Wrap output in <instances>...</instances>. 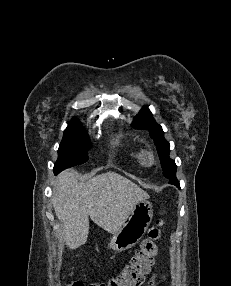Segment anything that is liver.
Here are the masks:
<instances>
[{"label":"liver","instance_id":"obj_1","mask_svg":"<svg viewBox=\"0 0 231 286\" xmlns=\"http://www.w3.org/2000/svg\"><path fill=\"white\" fill-rule=\"evenodd\" d=\"M149 198L138 185L115 172L97 175L79 182L75 173L63 171L53 188V207L63 226L69 249L86 243L89 217L99 227L114 234L135 205Z\"/></svg>","mask_w":231,"mask_h":286}]
</instances>
